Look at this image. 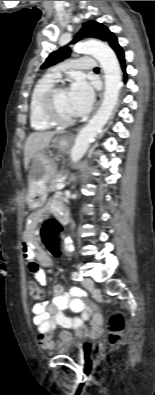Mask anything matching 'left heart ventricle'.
I'll return each instance as SVG.
<instances>
[{
    "label": "left heart ventricle",
    "instance_id": "left-heart-ventricle-1",
    "mask_svg": "<svg viewBox=\"0 0 155 395\" xmlns=\"http://www.w3.org/2000/svg\"><path fill=\"white\" fill-rule=\"evenodd\" d=\"M55 109L61 118H73L68 100V91L66 89L57 93L55 97Z\"/></svg>",
    "mask_w": 155,
    "mask_h": 395
}]
</instances>
